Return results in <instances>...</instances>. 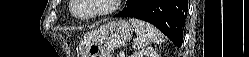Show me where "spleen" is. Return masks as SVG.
Returning a JSON list of instances; mask_svg holds the SVG:
<instances>
[{
    "mask_svg": "<svg viewBox=\"0 0 249 57\" xmlns=\"http://www.w3.org/2000/svg\"><path fill=\"white\" fill-rule=\"evenodd\" d=\"M129 22L135 28V33L137 35L133 43L135 49H142L153 43L161 44L164 42L163 34L150 23L136 18H130Z\"/></svg>",
    "mask_w": 249,
    "mask_h": 57,
    "instance_id": "obj_1",
    "label": "spleen"
}]
</instances>
